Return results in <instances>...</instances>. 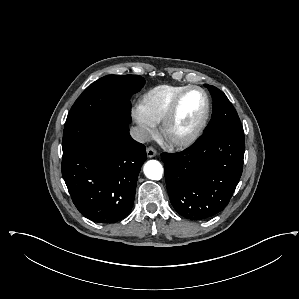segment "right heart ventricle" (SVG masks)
I'll list each match as a JSON object with an SVG mask.
<instances>
[{"label": "right heart ventricle", "mask_w": 299, "mask_h": 299, "mask_svg": "<svg viewBox=\"0 0 299 299\" xmlns=\"http://www.w3.org/2000/svg\"><path fill=\"white\" fill-rule=\"evenodd\" d=\"M187 86L159 85L140 99L139 110L154 125L163 121L176 95Z\"/></svg>", "instance_id": "obj_1"}]
</instances>
